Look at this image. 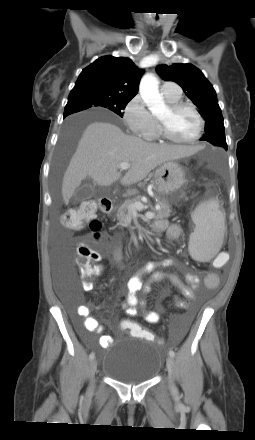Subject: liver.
<instances>
[{
    "label": "liver",
    "instance_id": "obj_1",
    "mask_svg": "<svg viewBox=\"0 0 255 440\" xmlns=\"http://www.w3.org/2000/svg\"><path fill=\"white\" fill-rule=\"evenodd\" d=\"M200 147L148 143L124 134L111 123L93 122L84 130L76 152L64 174L62 197L69 203L74 191L86 177L100 186H110L120 179L118 165H131L124 177L123 185H132L143 180L153 169L165 162L195 154Z\"/></svg>",
    "mask_w": 255,
    "mask_h": 440
}]
</instances>
